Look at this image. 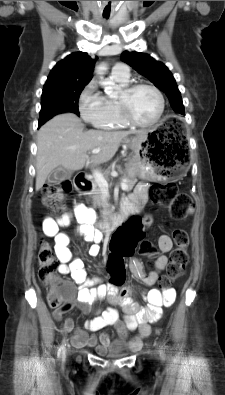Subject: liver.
Returning a JSON list of instances; mask_svg holds the SVG:
<instances>
[{"instance_id": "obj_1", "label": "liver", "mask_w": 225, "mask_h": 395, "mask_svg": "<svg viewBox=\"0 0 225 395\" xmlns=\"http://www.w3.org/2000/svg\"><path fill=\"white\" fill-rule=\"evenodd\" d=\"M149 131H84V124L73 113L60 114L46 122L38 131L36 191L56 168L68 171L81 170L86 161L93 165L108 162L117 152L120 143L130 134L145 138ZM101 151L88 158L93 149Z\"/></svg>"}]
</instances>
